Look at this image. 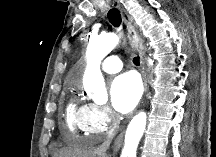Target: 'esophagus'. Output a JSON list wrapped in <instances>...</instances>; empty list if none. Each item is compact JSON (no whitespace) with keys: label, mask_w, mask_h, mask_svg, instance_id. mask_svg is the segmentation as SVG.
I'll list each match as a JSON object with an SVG mask.
<instances>
[{"label":"esophagus","mask_w":216,"mask_h":157,"mask_svg":"<svg viewBox=\"0 0 216 157\" xmlns=\"http://www.w3.org/2000/svg\"><path fill=\"white\" fill-rule=\"evenodd\" d=\"M118 9L120 10V13L122 15V18L127 26L128 34L132 37L135 48L137 49L139 56H140V62L142 67V78H143V86H144V93L148 90V83H147V71L145 67V47L143 39L140 35V32L138 30L137 25L135 24L133 18L130 16V14L120 5H117ZM123 141V133L121 132L117 138L115 139L112 148L114 151L119 150L121 147Z\"/></svg>","instance_id":"1"}]
</instances>
